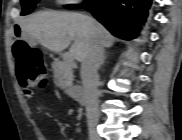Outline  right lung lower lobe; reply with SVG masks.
I'll use <instances>...</instances> for the list:
<instances>
[{"label": "right lung lower lobe", "instance_id": "98d812e1", "mask_svg": "<svg viewBox=\"0 0 182 140\" xmlns=\"http://www.w3.org/2000/svg\"><path fill=\"white\" fill-rule=\"evenodd\" d=\"M152 0H100L84 8L112 34L123 39L137 36L145 22Z\"/></svg>", "mask_w": 182, "mask_h": 140}]
</instances>
